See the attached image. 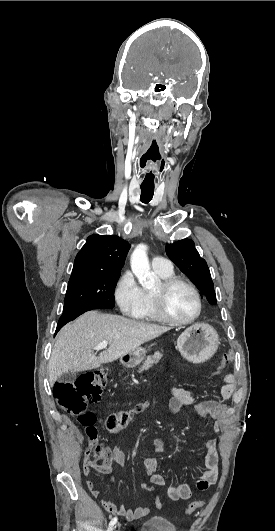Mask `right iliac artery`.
Listing matches in <instances>:
<instances>
[{"label": "right iliac artery", "instance_id": "82829eb1", "mask_svg": "<svg viewBox=\"0 0 275 531\" xmlns=\"http://www.w3.org/2000/svg\"><path fill=\"white\" fill-rule=\"evenodd\" d=\"M117 523V518H113L110 523H109V527H108V530L107 531H113L115 525Z\"/></svg>", "mask_w": 275, "mask_h": 531}]
</instances>
